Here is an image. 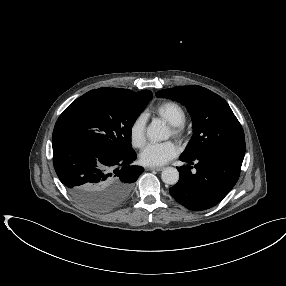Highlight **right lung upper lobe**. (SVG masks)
I'll return each mask as SVG.
<instances>
[{"instance_id": "1", "label": "right lung upper lobe", "mask_w": 286, "mask_h": 286, "mask_svg": "<svg viewBox=\"0 0 286 286\" xmlns=\"http://www.w3.org/2000/svg\"><path fill=\"white\" fill-rule=\"evenodd\" d=\"M114 89H116V90H118V91H120V92H122V93L130 94V95H145V94H151V95L153 96L152 92L149 91V90H143V91H139V92L135 93V92H133V91H131V90H128V89H121V88H114Z\"/></svg>"}]
</instances>
